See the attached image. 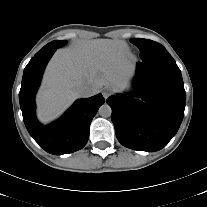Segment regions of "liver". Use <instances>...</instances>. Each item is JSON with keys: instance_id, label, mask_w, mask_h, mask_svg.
Masks as SVG:
<instances>
[{"instance_id": "obj_1", "label": "liver", "mask_w": 207, "mask_h": 207, "mask_svg": "<svg viewBox=\"0 0 207 207\" xmlns=\"http://www.w3.org/2000/svg\"><path fill=\"white\" fill-rule=\"evenodd\" d=\"M134 57L122 40L79 41L58 50L47 66L37 95L38 117L48 122L77 97V87L88 85L94 94L103 86L123 90L134 70Z\"/></svg>"}]
</instances>
